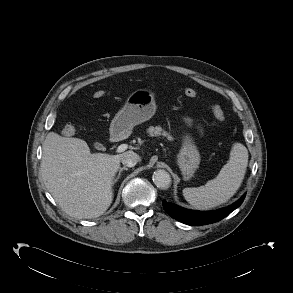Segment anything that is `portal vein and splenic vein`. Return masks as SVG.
I'll return each mask as SVG.
<instances>
[{
  "instance_id": "portal-vein-and-splenic-vein-1",
  "label": "portal vein and splenic vein",
  "mask_w": 293,
  "mask_h": 293,
  "mask_svg": "<svg viewBox=\"0 0 293 293\" xmlns=\"http://www.w3.org/2000/svg\"><path fill=\"white\" fill-rule=\"evenodd\" d=\"M128 145L127 144H121L120 146L117 147L116 151L118 153L124 152L125 150H127Z\"/></svg>"
}]
</instances>
